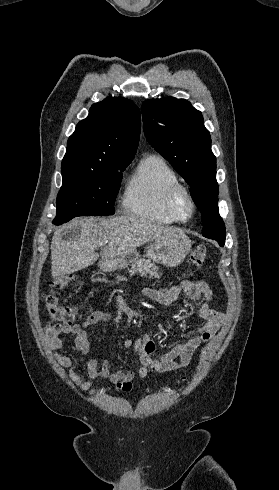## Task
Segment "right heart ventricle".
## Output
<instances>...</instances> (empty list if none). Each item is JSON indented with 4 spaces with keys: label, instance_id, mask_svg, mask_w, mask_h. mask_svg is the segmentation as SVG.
<instances>
[{
    "label": "right heart ventricle",
    "instance_id": "e07e8e85",
    "mask_svg": "<svg viewBox=\"0 0 279 490\" xmlns=\"http://www.w3.org/2000/svg\"><path fill=\"white\" fill-rule=\"evenodd\" d=\"M178 183V175L165 159L158 155L142 158L127 187L128 213L161 225L179 223L167 206L168 194Z\"/></svg>",
    "mask_w": 279,
    "mask_h": 490
}]
</instances>
